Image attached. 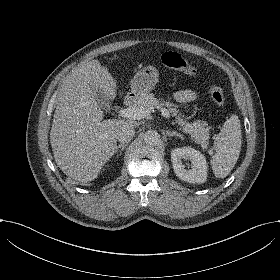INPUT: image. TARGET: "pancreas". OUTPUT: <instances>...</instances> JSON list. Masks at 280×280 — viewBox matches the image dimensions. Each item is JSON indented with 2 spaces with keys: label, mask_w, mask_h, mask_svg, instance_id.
Masks as SVG:
<instances>
[{
  "label": "pancreas",
  "mask_w": 280,
  "mask_h": 280,
  "mask_svg": "<svg viewBox=\"0 0 280 280\" xmlns=\"http://www.w3.org/2000/svg\"><path fill=\"white\" fill-rule=\"evenodd\" d=\"M163 105L167 106L174 116L177 115V105L170 102L161 103L153 93L146 95L144 98L138 99L134 103L135 107H142L145 110H149L150 112L154 109V107H162ZM176 123L182 126L183 132L190 134L193 141H195L197 144H200L204 150L208 149L210 138L209 130L211 129V127L208 126L206 121L197 120L193 123H187L178 115L176 117Z\"/></svg>",
  "instance_id": "cf45deb5"
}]
</instances>
